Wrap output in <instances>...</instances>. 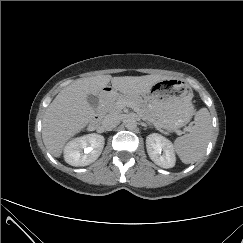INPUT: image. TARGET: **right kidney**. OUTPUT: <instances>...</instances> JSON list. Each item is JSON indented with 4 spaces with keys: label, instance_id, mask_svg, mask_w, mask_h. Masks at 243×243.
Returning a JSON list of instances; mask_svg holds the SVG:
<instances>
[{
    "label": "right kidney",
    "instance_id": "1",
    "mask_svg": "<svg viewBox=\"0 0 243 243\" xmlns=\"http://www.w3.org/2000/svg\"><path fill=\"white\" fill-rule=\"evenodd\" d=\"M105 144V139L99 134H88L77 137L64 148V159L72 166H87L100 156Z\"/></svg>",
    "mask_w": 243,
    "mask_h": 243
}]
</instances>
